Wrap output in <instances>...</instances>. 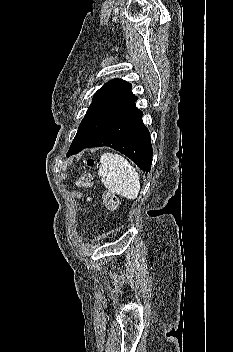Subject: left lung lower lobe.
<instances>
[{"mask_svg": "<svg viewBox=\"0 0 233 352\" xmlns=\"http://www.w3.org/2000/svg\"><path fill=\"white\" fill-rule=\"evenodd\" d=\"M142 116V111L135 109L75 153L88 147L108 146L129 157L140 169L150 171L152 163L151 138L149 130L143 124ZM73 154H67V156Z\"/></svg>", "mask_w": 233, "mask_h": 352, "instance_id": "obj_1", "label": "left lung lower lobe"}]
</instances>
